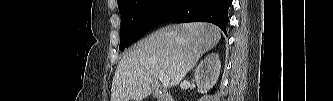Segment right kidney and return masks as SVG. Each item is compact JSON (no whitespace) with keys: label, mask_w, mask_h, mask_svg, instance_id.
Returning a JSON list of instances; mask_svg holds the SVG:
<instances>
[{"label":"right kidney","mask_w":333,"mask_h":101,"mask_svg":"<svg viewBox=\"0 0 333 101\" xmlns=\"http://www.w3.org/2000/svg\"><path fill=\"white\" fill-rule=\"evenodd\" d=\"M221 63L218 53L209 54L195 70V81L202 93L210 90L218 80Z\"/></svg>","instance_id":"right-kidney-1"}]
</instances>
